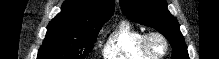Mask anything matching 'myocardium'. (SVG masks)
<instances>
[{
    "mask_svg": "<svg viewBox=\"0 0 219 59\" xmlns=\"http://www.w3.org/2000/svg\"><path fill=\"white\" fill-rule=\"evenodd\" d=\"M153 39H158L163 43L164 50L162 53L157 54L153 52L150 46V42ZM142 48L148 54V56H150L152 59H161L168 54L169 49H170V43L167 37L161 32L151 31V32L144 33L142 37Z\"/></svg>",
    "mask_w": 219,
    "mask_h": 59,
    "instance_id": "1",
    "label": "myocardium"
}]
</instances>
